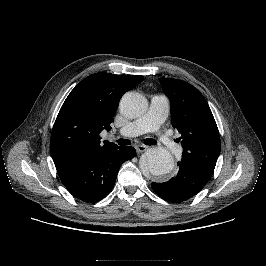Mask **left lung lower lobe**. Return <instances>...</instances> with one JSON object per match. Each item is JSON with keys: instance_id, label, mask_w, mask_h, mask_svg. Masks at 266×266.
Here are the masks:
<instances>
[{"instance_id": "obj_1", "label": "left lung lower lobe", "mask_w": 266, "mask_h": 266, "mask_svg": "<svg viewBox=\"0 0 266 266\" xmlns=\"http://www.w3.org/2000/svg\"><path fill=\"white\" fill-rule=\"evenodd\" d=\"M210 178L211 176L179 163V170L174 178L164 183H152L151 187L164 200L179 203L196 195Z\"/></svg>"}]
</instances>
